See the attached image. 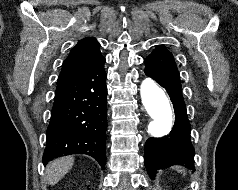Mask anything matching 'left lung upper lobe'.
Segmentation results:
<instances>
[{"instance_id":"obj_1","label":"left lung upper lobe","mask_w":238,"mask_h":190,"mask_svg":"<svg viewBox=\"0 0 238 190\" xmlns=\"http://www.w3.org/2000/svg\"><path fill=\"white\" fill-rule=\"evenodd\" d=\"M155 51H160V52H165V53L171 54V52H169L163 45L157 46L155 48Z\"/></svg>"}]
</instances>
